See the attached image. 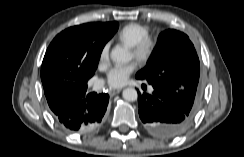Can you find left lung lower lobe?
<instances>
[{
  "instance_id": "0a47b994",
  "label": "left lung lower lobe",
  "mask_w": 244,
  "mask_h": 157,
  "mask_svg": "<svg viewBox=\"0 0 244 157\" xmlns=\"http://www.w3.org/2000/svg\"><path fill=\"white\" fill-rule=\"evenodd\" d=\"M152 94L138 91L139 116L145 128L160 138L182 134L194 117L190 105H183L155 84Z\"/></svg>"
}]
</instances>
